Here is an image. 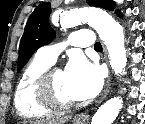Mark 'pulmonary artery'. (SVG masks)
Instances as JSON below:
<instances>
[{"mask_svg": "<svg viewBox=\"0 0 145 124\" xmlns=\"http://www.w3.org/2000/svg\"><path fill=\"white\" fill-rule=\"evenodd\" d=\"M66 44L75 47H93L94 38L90 29H81L71 33L64 43L41 47L37 55L50 63H54Z\"/></svg>", "mask_w": 145, "mask_h": 124, "instance_id": "obj_1", "label": "pulmonary artery"}]
</instances>
